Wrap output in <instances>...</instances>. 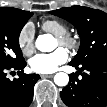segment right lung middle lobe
<instances>
[{
    "label": "right lung middle lobe",
    "instance_id": "obj_1",
    "mask_svg": "<svg viewBox=\"0 0 107 107\" xmlns=\"http://www.w3.org/2000/svg\"><path fill=\"white\" fill-rule=\"evenodd\" d=\"M32 12L16 8H0V64L13 66L24 61L19 34Z\"/></svg>",
    "mask_w": 107,
    "mask_h": 107
}]
</instances>
